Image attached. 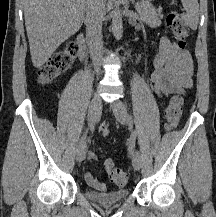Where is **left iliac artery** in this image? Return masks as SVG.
Wrapping results in <instances>:
<instances>
[{
	"mask_svg": "<svg viewBox=\"0 0 216 217\" xmlns=\"http://www.w3.org/2000/svg\"><path fill=\"white\" fill-rule=\"evenodd\" d=\"M136 132L134 131L129 139V153L133 155L135 153Z\"/></svg>",
	"mask_w": 216,
	"mask_h": 217,
	"instance_id": "left-iliac-artery-1",
	"label": "left iliac artery"
}]
</instances>
